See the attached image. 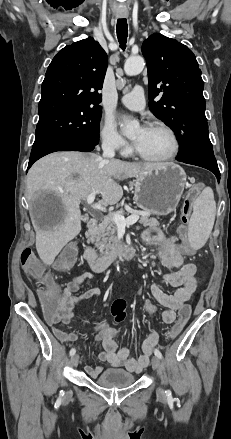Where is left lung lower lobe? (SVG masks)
<instances>
[{"label": "left lung lower lobe", "instance_id": "obj_1", "mask_svg": "<svg viewBox=\"0 0 231 439\" xmlns=\"http://www.w3.org/2000/svg\"><path fill=\"white\" fill-rule=\"evenodd\" d=\"M176 160L179 162H184L187 164L196 165L208 169L215 174L218 181L220 180V172L216 161H212L210 159L200 156H187L184 158L177 157Z\"/></svg>", "mask_w": 231, "mask_h": 439}]
</instances>
